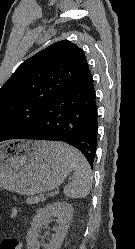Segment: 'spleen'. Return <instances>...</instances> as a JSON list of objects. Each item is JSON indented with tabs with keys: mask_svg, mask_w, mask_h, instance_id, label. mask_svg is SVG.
I'll return each instance as SVG.
<instances>
[{
	"mask_svg": "<svg viewBox=\"0 0 135 249\" xmlns=\"http://www.w3.org/2000/svg\"><path fill=\"white\" fill-rule=\"evenodd\" d=\"M52 148L71 162L73 179L64 188V194L72 198H85L90 193L92 171L86 158L77 149L60 142H52Z\"/></svg>",
	"mask_w": 135,
	"mask_h": 249,
	"instance_id": "spleen-1",
	"label": "spleen"
}]
</instances>
